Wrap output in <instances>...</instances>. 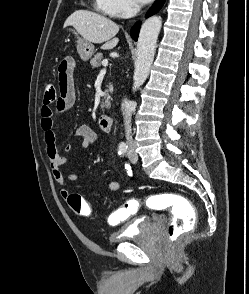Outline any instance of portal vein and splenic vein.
I'll return each mask as SVG.
<instances>
[{"mask_svg":"<svg viewBox=\"0 0 249 294\" xmlns=\"http://www.w3.org/2000/svg\"><path fill=\"white\" fill-rule=\"evenodd\" d=\"M102 65L104 66V68L100 71V74H105L106 73V67L108 66V61L103 60Z\"/></svg>","mask_w":249,"mask_h":294,"instance_id":"18ae733b","label":"portal vein and splenic vein"}]
</instances>
